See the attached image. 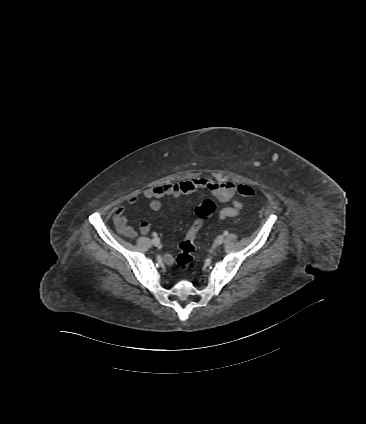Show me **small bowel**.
I'll return each instance as SVG.
<instances>
[{"label": "small bowel", "instance_id": "small-bowel-1", "mask_svg": "<svg viewBox=\"0 0 366 424\" xmlns=\"http://www.w3.org/2000/svg\"><path fill=\"white\" fill-rule=\"evenodd\" d=\"M199 189L208 191L222 202H231V205L219 211L218 218L223 220L237 216L243 209V204L236 199L237 187L231 181L214 180L207 177H192L176 183H167L160 186L149 187L140 195L133 194L127 199L126 205L119 207L114 215V224L117 231L129 238L137 237L135 228L130 225L126 218L128 206L135 205L140 199L149 200V207L153 212H158L162 207V198L166 196L180 197L191 194ZM150 230L148 222H141L139 231L147 234ZM174 260L172 254L164 257V262L170 265Z\"/></svg>", "mask_w": 366, "mask_h": 424}]
</instances>
